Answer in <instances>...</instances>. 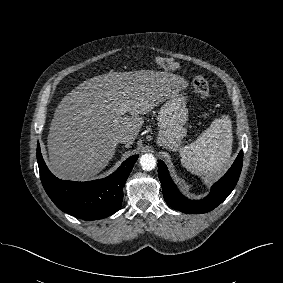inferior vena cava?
<instances>
[{"label":"inferior vena cava","instance_id":"obj_1","mask_svg":"<svg viewBox=\"0 0 283 283\" xmlns=\"http://www.w3.org/2000/svg\"><path fill=\"white\" fill-rule=\"evenodd\" d=\"M126 140H127V138L125 137V136H123V135H121V136H117L116 138H115V142L116 143H126Z\"/></svg>","mask_w":283,"mask_h":283}]
</instances>
